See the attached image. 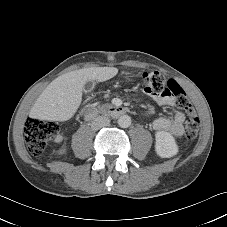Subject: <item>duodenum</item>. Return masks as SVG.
I'll list each match as a JSON object with an SVG mask.
<instances>
[{
  "label": "duodenum",
  "mask_w": 227,
  "mask_h": 227,
  "mask_svg": "<svg viewBox=\"0 0 227 227\" xmlns=\"http://www.w3.org/2000/svg\"><path fill=\"white\" fill-rule=\"evenodd\" d=\"M99 114H105L112 117H119L127 114V109L121 106H112L102 110L87 107L84 111V116L87 120H92Z\"/></svg>",
  "instance_id": "duodenum-1"
}]
</instances>
